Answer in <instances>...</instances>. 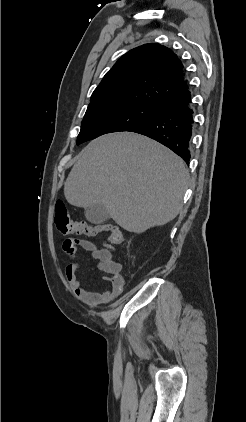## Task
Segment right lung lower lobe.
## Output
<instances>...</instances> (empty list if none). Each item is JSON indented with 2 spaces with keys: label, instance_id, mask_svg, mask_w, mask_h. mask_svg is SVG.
I'll list each match as a JSON object with an SVG mask.
<instances>
[{
  "label": "right lung lower lobe",
  "instance_id": "98d812e1",
  "mask_svg": "<svg viewBox=\"0 0 246 422\" xmlns=\"http://www.w3.org/2000/svg\"><path fill=\"white\" fill-rule=\"evenodd\" d=\"M193 110L190 91L158 106V115L133 128L130 132L148 136L170 148L189 164V142L192 134Z\"/></svg>",
  "mask_w": 246,
  "mask_h": 422
}]
</instances>
